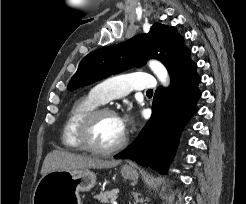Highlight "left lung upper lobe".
<instances>
[{
  "label": "left lung upper lobe",
  "mask_w": 246,
  "mask_h": 204,
  "mask_svg": "<svg viewBox=\"0 0 246 204\" xmlns=\"http://www.w3.org/2000/svg\"><path fill=\"white\" fill-rule=\"evenodd\" d=\"M186 50L183 37L174 27L156 23L148 34L89 53L80 62L67 88L72 91L92 84L130 67L141 66L150 58L161 61L169 72Z\"/></svg>",
  "instance_id": "obj_1"
}]
</instances>
